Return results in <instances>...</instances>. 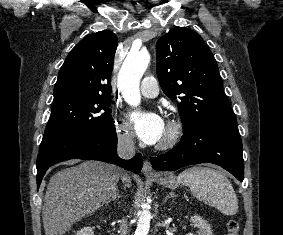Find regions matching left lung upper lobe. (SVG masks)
<instances>
[{
    "mask_svg": "<svg viewBox=\"0 0 283 235\" xmlns=\"http://www.w3.org/2000/svg\"><path fill=\"white\" fill-rule=\"evenodd\" d=\"M156 53L160 86L178 102L183 133L236 121L216 60L200 35L175 27L158 40Z\"/></svg>",
    "mask_w": 283,
    "mask_h": 235,
    "instance_id": "5c2ea615",
    "label": "left lung upper lobe"
}]
</instances>
